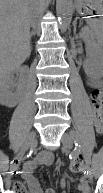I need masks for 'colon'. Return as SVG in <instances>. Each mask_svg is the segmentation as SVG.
Segmentation results:
<instances>
[{
	"instance_id": "obj_1",
	"label": "colon",
	"mask_w": 103,
	"mask_h": 193,
	"mask_svg": "<svg viewBox=\"0 0 103 193\" xmlns=\"http://www.w3.org/2000/svg\"><path fill=\"white\" fill-rule=\"evenodd\" d=\"M92 106H93V116L94 124L98 131H102L103 128V91L101 89H96L91 94ZM70 170L74 173H82L83 166L81 161L73 160L70 164ZM16 193H26L23 186L17 187L15 189Z\"/></svg>"
}]
</instances>
